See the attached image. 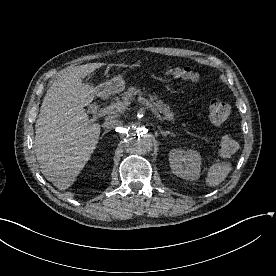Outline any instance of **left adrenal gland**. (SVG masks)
Here are the masks:
<instances>
[{
	"label": "left adrenal gland",
	"instance_id": "a2214340",
	"mask_svg": "<svg viewBox=\"0 0 276 276\" xmlns=\"http://www.w3.org/2000/svg\"><path fill=\"white\" fill-rule=\"evenodd\" d=\"M160 133H161L163 136L171 135V136L175 137V134H174L173 132H170V131H163V130H160Z\"/></svg>",
	"mask_w": 276,
	"mask_h": 276
}]
</instances>
